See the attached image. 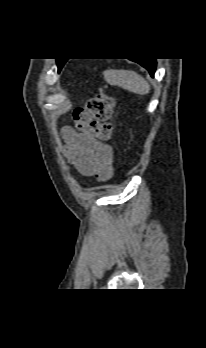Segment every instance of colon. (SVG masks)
Here are the masks:
<instances>
[{
    "instance_id": "obj_1",
    "label": "colon",
    "mask_w": 206,
    "mask_h": 348,
    "mask_svg": "<svg viewBox=\"0 0 206 348\" xmlns=\"http://www.w3.org/2000/svg\"><path fill=\"white\" fill-rule=\"evenodd\" d=\"M114 99L105 91L91 98L84 109L74 112L75 127L82 133L102 141L111 140L113 128L109 122Z\"/></svg>"
}]
</instances>
